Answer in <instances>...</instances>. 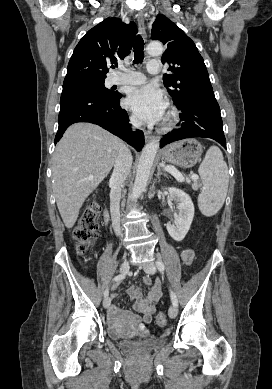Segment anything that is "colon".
Listing matches in <instances>:
<instances>
[{"instance_id":"obj_1","label":"colon","mask_w":272,"mask_h":389,"mask_svg":"<svg viewBox=\"0 0 272 389\" xmlns=\"http://www.w3.org/2000/svg\"><path fill=\"white\" fill-rule=\"evenodd\" d=\"M98 236V209L96 205L89 206L79 219L74 230V238L77 242L79 253H85L95 243ZM156 323L159 327H165L167 319L164 313L156 316Z\"/></svg>"}]
</instances>
